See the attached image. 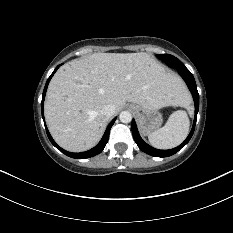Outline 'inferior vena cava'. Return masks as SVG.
I'll use <instances>...</instances> for the list:
<instances>
[{
	"mask_svg": "<svg viewBox=\"0 0 233 233\" xmlns=\"http://www.w3.org/2000/svg\"><path fill=\"white\" fill-rule=\"evenodd\" d=\"M101 114L110 118L115 114V106L112 104H108L104 106L101 110Z\"/></svg>",
	"mask_w": 233,
	"mask_h": 233,
	"instance_id": "602c4592",
	"label": "inferior vena cava"
}]
</instances>
